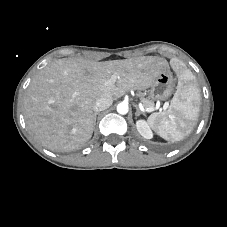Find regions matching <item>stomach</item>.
<instances>
[{"label": "stomach", "instance_id": "1", "mask_svg": "<svg viewBox=\"0 0 227 227\" xmlns=\"http://www.w3.org/2000/svg\"><path fill=\"white\" fill-rule=\"evenodd\" d=\"M175 78L169 69L164 70L151 85L150 96L153 100L164 101L171 97Z\"/></svg>", "mask_w": 227, "mask_h": 227}]
</instances>
